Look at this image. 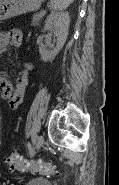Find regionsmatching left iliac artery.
<instances>
[{"mask_svg": "<svg viewBox=\"0 0 119 185\" xmlns=\"http://www.w3.org/2000/svg\"><path fill=\"white\" fill-rule=\"evenodd\" d=\"M36 138H37V136H36V134L34 133V134L32 135V142H33V143L36 141Z\"/></svg>", "mask_w": 119, "mask_h": 185, "instance_id": "44dca946", "label": "left iliac artery"}]
</instances>
